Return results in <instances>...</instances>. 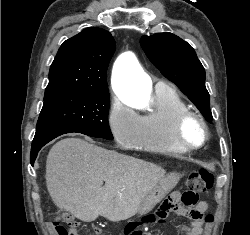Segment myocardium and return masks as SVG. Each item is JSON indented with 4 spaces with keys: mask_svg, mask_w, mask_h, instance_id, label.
Masks as SVG:
<instances>
[{
    "mask_svg": "<svg viewBox=\"0 0 250 235\" xmlns=\"http://www.w3.org/2000/svg\"><path fill=\"white\" fill-rule=\"evenodd\" d=\"M190 120H196L202 130L203 138L199 144H189L184 138V127ZM173 137L179 147L185 151H196L201 149L209 140V128L203 116L195 111L186 110L178 114L173 124Z\"/></svg>",
    "mask_w": 250,
    "mask_h": 235,
    "instance_id": "myocardium-1",
    "label": "myocardium"
}]
</instances>
